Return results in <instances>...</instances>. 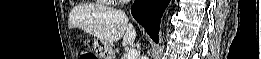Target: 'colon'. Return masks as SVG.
<instances>
[{"label":"colon","instance_id":"5ec220e1","mask_svg":"<svg viewBox=\"0 0 261 59\" xmlns=\"http://www.w3.org/2000/svg\"><path fill=\"white\" fill-rule=\"evenodd\" d=\"M81 58L82 59H93V58H95V56L92 53L86 51L81 54Z\"/></svg>","mask_w":261,"mask_h":59}]
</instances>
